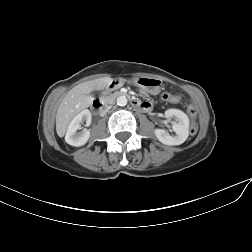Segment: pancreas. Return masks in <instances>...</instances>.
I'll list each match as a JSON object with an SVG mask.
<instances>
[{
  "mask_svg": "<svg viewBox=\"0 0 252 252\" xmlns=\"http://www.w3.org/2000/svg\"><path fill=\"white\" fill-rule=\"evenodd\" d=\"M139 94L143 95L150 103H152L154 105L158 104V101L156 99L152 98L151 95L148 94L146 91L140 90Z\"/></svg>",
  "mask_w": 252,
  "mask_h": 252,
  "instance_id": "pancreas-1",
  "label": "pancreas"
}]
</instances>
